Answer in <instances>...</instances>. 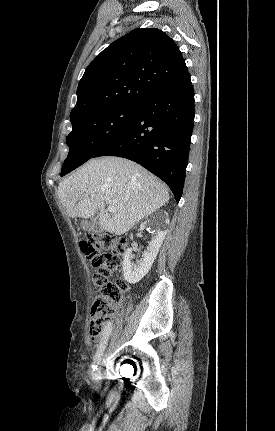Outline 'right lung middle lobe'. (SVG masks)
<instances>
[{
    "label": "right lung middle lobe",
    "instance_id": "1",
    "mask_svg": "<svg viewBox=\"0 0 275 431\" xmlns=\"http://www.w3.org/2000/svg\"><path fill=\"white\" fill-rule=\"evenodd\" d=\"M137 107L115 106L91 112L72 123L67 136L70 148L61 176L66 175L92 158L134 120Z\"/></svg>",
    "mask_w": 275,
    "mask_h": 431
}]
</instances>
